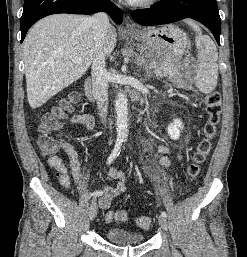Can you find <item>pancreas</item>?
<instances>
[{
	"label": "pancreas",
	"instance_id": "obj_1",
	"mask_svg": "<svg viewBox=\"0 0 247 257\" xmlns=\"http://www.w3.org/2000/svg\"><path fill=\"white\" fill-rule=\"evenodd\" d=\"M173 71L174 67L170 63L154 65V74L157 78L169 77Z\"/></svg>",
	"mask_w": 247,
	"mask_h": 257
}]
</instances>
